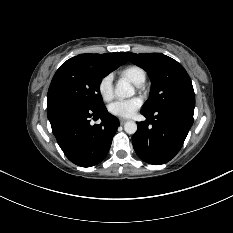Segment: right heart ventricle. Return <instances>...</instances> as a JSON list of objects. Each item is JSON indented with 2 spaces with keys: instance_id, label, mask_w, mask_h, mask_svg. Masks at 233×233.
Returning <instances> with one entry per match:
<instances>
[{
  "instance_id": "right-heart-ventricle-1",
  "label": "right heart ventricle",
  "mask_w": 233,
  "mask_h": 233,
  "mask_svg": "<svg viewBox=\"0 0 233 233\" xmlns=\"http://www.w3.org/2000/svg\"><path fill=\"white\" fill-rule=\"evenodd\" d=\"M120 75L135 85H142L146 80L145 70L138 65H129L120 71Z\"/></svg>"
}]
</instances>
